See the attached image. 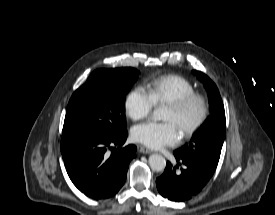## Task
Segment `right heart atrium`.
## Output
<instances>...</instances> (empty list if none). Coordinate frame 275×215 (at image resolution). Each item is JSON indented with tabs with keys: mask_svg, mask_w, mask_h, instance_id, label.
I'll return each mask as SVG.
<instances>
[{
	"mask_svg": "<svg viewBox=\"0 0 275 215\" xmlns=\"http://www.w3.org/2000/svg\"><path fill=\"white\" fill-rule=\"evenodd\" d=\"M155 104L142 87L133 88L125 97L124 107L132 120H141L150 115Z\"/></svg>",
	"mask_w": 275,
	"mask_h": 215,
	"instance_id": "1",
	"label": "right heart atrium"
}]
</instances>
